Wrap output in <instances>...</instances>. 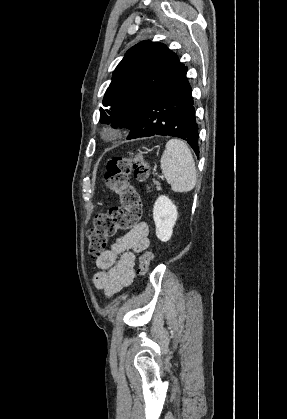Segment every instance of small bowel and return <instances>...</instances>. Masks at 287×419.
Listing matches in <instances>:
<instances>
[{"instance_id":"obj_1","label":"small bowel","mask_w":287,"mask_h":419,"mask_svg":"<svg viewBox=\"0 0 287 419\" xmlns=\"http://www.w3.org/2000/svg\"><path fill=\"white\" fill-rule=\"evenodd\" d=\"M149 228L141 222L118 236L96 259L99 271L94 276L95 286L110 297L130 286L135 277L136 254L149 247Z\"/></svg>"}]
</instances>
